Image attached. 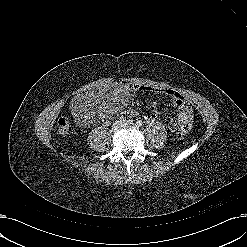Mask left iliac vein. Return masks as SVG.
<instances>
[{
	"instance_id": "1",
	"label": "left iliac vein",
	"mask_w": 247,
	"mask_h": 247,
	"mask_svg": "<svg viewBox=\"0 0 247 247\" xmlns=\"http://www.w3.org/2000/svg\"><path fill=\"white\" fill-rule=\"evenodd\" d=\"M127 125H133V122L132 121H127V122L123 123V126H127Z\"/></svg>"
}]
</instances>
